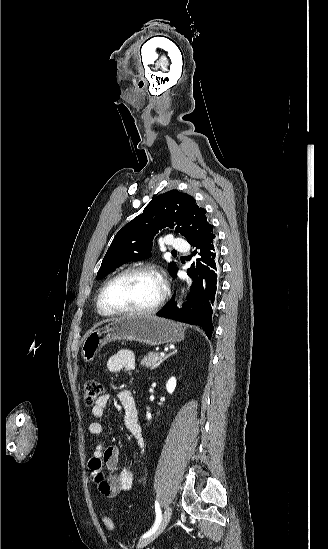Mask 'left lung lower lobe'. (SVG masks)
<instances>
[{
  "instance_id": "1",
  "label": "left lung lower lobe",
  "mask_w": 328,
  "mask_h": 549,
  "mask_svg": "<svg viewBox=\"0 0 328 549\" xmlns=\"http://www.w3.org/2000/svg\"><path fill=\"white\" fill-rule=\"evenodd\" d=\"M192 256H196L197 259L188 270V274L192 276L194 281L190 295L187 296V301L177 307L174 295L157 315L199 325L205 330L210 339L214 329L212 313L215 309V295L220 287L219 252L215 246V235L195 246Z\"/></svg>"
}]
</instances>
